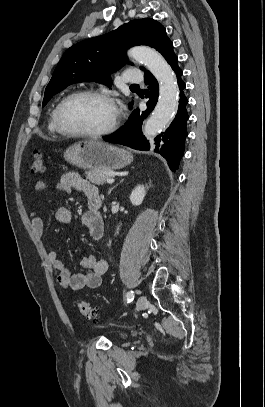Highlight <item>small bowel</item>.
Returning a JSON list of instances; mask_svg holds the SVG:
<instances>
[{
  "mask_svg": "<svg viewBox=\"0 0 265 407\" xmlns=\"http://www.w3.org/2000/svg\"><path fill=\"white\" fill-rule=\"evenodd\" d=\"M47 188V184L38 181L35 184V191L41 192ZM56 189L65 192L72 190L84 193L88 199V209L82 216V222L87 227L89 235L94 240H99L104 234V223L100 213L91 206L93 199L99 198L98 190L95 185L83 179L78 173L67 172L61 175ZM31 226L34 234L42 238L44 234V225L42 219L37 215L35 210L30 213ZM56 218L62 224H69L73 220L72 211L65 206H61L56 211ZM48 257L53 267L57 270L58 284L65 289L74 291L83 288H97L101 285L102 277L108 270V263L105 259L93 255L84 257L80 265L86 269L85 273H72L70 267L60 258L56 250H50Z\"/></svg>",
  "mask_w": 265,
  "mask_h": 407,
  "instance_id": "c3829d8e",
  "label": "small bowel"
}]
</instances>
